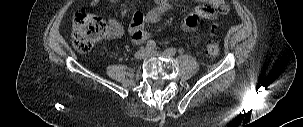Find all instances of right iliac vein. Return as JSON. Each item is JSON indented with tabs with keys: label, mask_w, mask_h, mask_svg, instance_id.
I'll return each instance as SVG.
<instances>
[{
	"label": "right iliac vein",
	"mask_w": 303,
	"mask_h": 127,
	"mask_svg": "<svg viewBox=\"0 0 303 127\" xmlns=\"http://www.w3.org/2000/svg\"><path fill=\"white\" fill-rule=\"evenodd\" d=\"M135 56L137 59H145L148 56V50L145 48L140 49L138 52H136Z\"/></svg>",
	"instance_id": "1"
}]
</instances>
